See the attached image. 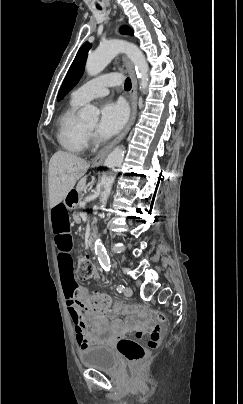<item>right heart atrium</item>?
Returning <instances> with one entry per match:
<instances>
[{
    "label": "right heart atrium",
    "mask_w": 243,
    "mask_h": 404,
    "mask_svg": "<svg viewBox=\"0 0 243 404\" xmlns=\"http://www.w3.org/2000/svg\"><path fill=\"white\" fill-rule=\"evenodd\" d=\"M88 141H89L91 144H96V143H97L96 137H95L93 134H89V135H88Z\"/></svg>",
    "instance_id": "obj_1"
}]
</instances>
